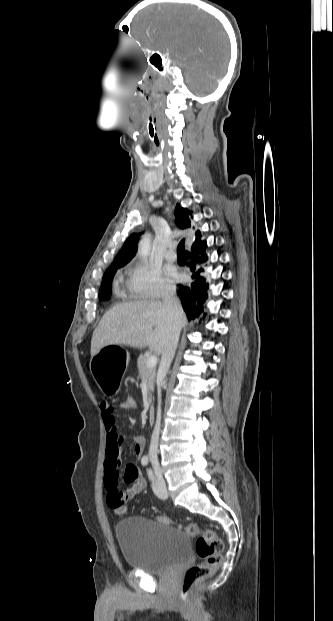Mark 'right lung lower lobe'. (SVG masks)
Returning <instances> with one entry per match:
<instances>
[{"label":"right lung lower lobe","mask_w":333,"mask_h":621,"mask_svg":"<svg viewBox=\"0 0 333 621\" xmlns=\"http://www.w3.org/2000/svg\"><path fill=\"white\" fill-rule=\"evenodd\" d=\"M207 245H196L191 247V251L187 252L190 267L195 279L191 285H178V296L181 299L183 309L185 310L188 319H194L202 313L201 305L207 298L208 283L206 279L200 276V272L203 271V265L207 262L205 255V249Z\"/></svg>","instance_id":"1"}]
</instances>
